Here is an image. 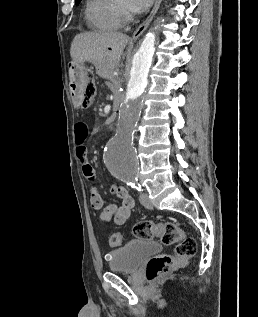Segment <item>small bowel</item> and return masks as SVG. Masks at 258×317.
<instances>
[{
    "label": "small bowel",
    "mask_w": 258,
    "mask_h": 317,
    "mask_svg": "<svg viewBox=\"0 0 258 317\" xmlns=\"http://www.w3.org/2000/svg\"><path fill=\"white\" fill-rule=\"evenodd\" d=\"M89 129L86 123L78 122L75 125L76 156L81 162L83 176L92 181L95 178V171L87 157L86 139ZM109 190L120 198L119 205L107 202L95 187L91 189L90 203L95 210H100L99 219L102 223L114 222L117 225L124 224L130 217L134 207V199L127 190L118 185L111 184Z\"/></svg>",
    "instance_id": "obj_1"
}]
</instances>
